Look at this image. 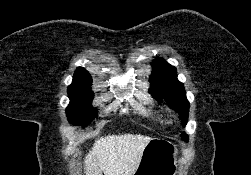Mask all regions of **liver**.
Segmentation results:
<instances>
[{
	"mask_svg": "<svg viewBox=\"0 0 251 175\" xmlns=\"http://www.w3.org/2000/svg\"><path fill=\"white\" fill-rule=\"evenodd\" d=\"M152 137L138 133L105 135L85 155V175H133Z\"/></svg>",
	"mask_w": 251,
	"mask_h": 175,
	"instance_id": "6515ba94",
	"label": "liver"
}]
</instances>
